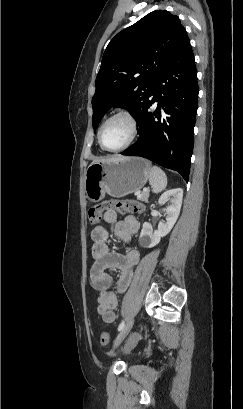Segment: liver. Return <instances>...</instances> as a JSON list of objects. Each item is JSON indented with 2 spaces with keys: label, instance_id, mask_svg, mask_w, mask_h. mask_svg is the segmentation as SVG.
<instances>
[{
  "label": "liver",
  "instance_id": "liver-1",
  "mask_svg": "<svg viewBox=\"0 0 243 409\" xmlns=\"http://www.w3.org/2000/svg\"><path fill=\"white\" fill-rule=\"evenodd\" d=\"M97 161H105V160H97Z\"/></svg>",
  "mask_w": 243,
  "mask_h": 409
}]
</instances>
